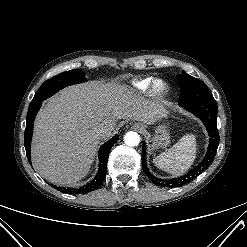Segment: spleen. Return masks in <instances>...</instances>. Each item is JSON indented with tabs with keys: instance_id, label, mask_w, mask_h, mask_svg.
<instances>
[{
	"instance_id": "obj_1",
	"label": "spleen",
	"mask_w": 247,
	"mask_h": 247,
	"mask_svg": "<svg viewBox=\"0 0 247 247\" xmlns=\"http://www.w3.org/2000/svg\"><path fill=\"white\" fill-rule=\"evenodd\" d=\"M196 153V138L193 134H187L167 151L155 157L153 163L159 169L179 175L191 167Z\"/></svg>"
}]
</instances>
